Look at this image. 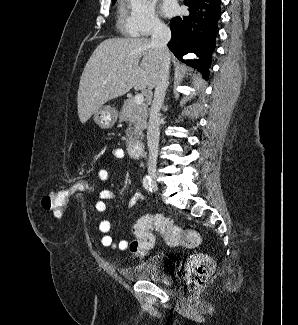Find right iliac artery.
<instances>
[{"label":"right iliac artery","mask_w":298,"mask_h":325,"mask_svg":"<svg viewBox=\"0 0 298 325\" xmlns=\"http://www.w3.org/2000/svg\"><path fill=\"white\" fill-rule=\"evenodd\" d=\"M143 187L146 189V190H150L151 191V178L149 175H146L144 178H143Z\"/></svg>","instance_id":"82829eb1"}]
</instances>
